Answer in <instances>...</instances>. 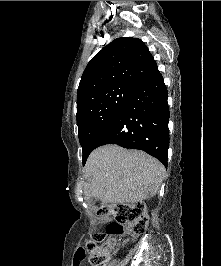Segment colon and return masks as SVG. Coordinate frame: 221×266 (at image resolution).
Masks as SVG:
<instances>
[{"label":"colon","instance_id":"1","mask_svg":"<svg viewBox=\"0 0 221 266\" xmlns=\"http://www.w3.org/2000/svg\"><path fill=\"white\" fill-rule=\"evenodd\" d=\"M100 216H113L116 222L107 226L106 233L96 232L86 241L84 260L88 259L91 266H106L114 238L121 235L137 237L143 235L148 227V217L140 202L103 206L98 211Z\"/></svg>","mask_w":221,"mask_h":266}]
</instances>
